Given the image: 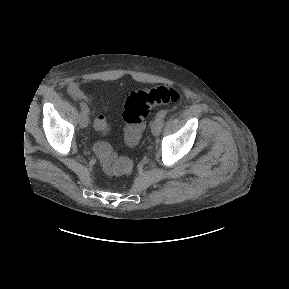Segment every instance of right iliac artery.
<instances>
[{"label": "right iliac artery", "instance_id": "82829eb1", "mask_svg": "<svg viewBox=\"0 0 289 289\" xmlns=\"http://www.w3.org/2000/svg\"><path fill=\"white\" fill-rule=\"evenodd\" d=\"M80 107H81L82 112H85L87 114L89 113L88 106L84 102L80 103Z\"/></svg>", "mask_w": 289, "mask_h": 289}]
</instances>
